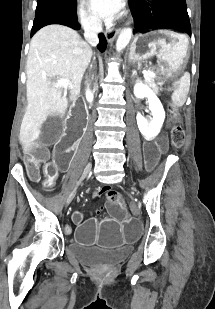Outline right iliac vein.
I'll return each mask as SVG.
<instances>
[{"label":"right iliac vein","instance_id":"1","mask_svg":"<svg viewBox=\"0 0 215 309\" xmlns=\"http://www.w3.org/2000/svg\"><path fill=\"white\" fill-rule=\"evenodd\" d=\"M91 163H88L87 166L85 167L84 171H83V174H82V179H84L87 174L89 173L90 169H91ZM75 195V191H72L71 194L68 196L67 198V202L70 201L71 199H73Z\"/></svg>","mask_w":215,"mask_h":309}]
</instances>
